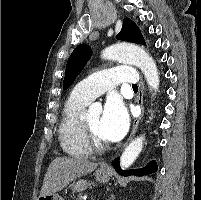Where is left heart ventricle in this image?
<instances>
[{"label":"left heart ventricle","instance_id":"left-heart-ventricle-1","mask_svg":"<svg viewBox=\"0 0 201 200\" xmlns=\"http://www.w3.org/2000/svg\"><path fill=\"white\" fill-rule=\"evenodd\" d=\"M87 125L92 130V132L95 134V136L103 142H106V140L103 138L100 132V125H101V115L97 114L94 116H91L87 118L86 120Z\"/></svg>","mask_w":201,"mask_h":200}]
</instances>
